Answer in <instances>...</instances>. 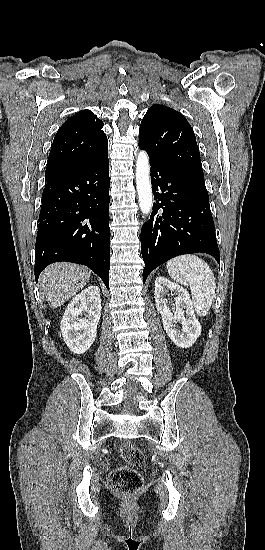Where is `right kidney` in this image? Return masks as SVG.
Here are the masks:
<instances>
[{"label": "right kidney", "mask_w": 265, "mask_h": 550, "mask_svg": "<svg viewBox=\"0 0 265 550\" xmlns=\"http://www.w3.org/2000/svg\"><path fill=\"white\" fill-rule=\"evenodd\" d=\"M101 309L98 286H89L71 300L60 325L63 340L70 351L83 354L91 347L96 338Z\"/></svg>", "instance_id": "1"}]
</instances>
